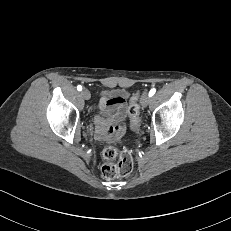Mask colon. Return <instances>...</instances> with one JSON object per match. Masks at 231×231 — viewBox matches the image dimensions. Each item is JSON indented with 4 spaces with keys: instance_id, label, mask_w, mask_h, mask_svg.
<instances>
[{
    "instance_id": "1",
    "label": "colon",
    "mask_w": 231,
    "mask_h": 231,
    "mask_svg": "<svg viewBox=\"0 0 231 231\" xmlns=\"http://www.w3.org/2000/svg\"><path fill=\"white\" fill-rule=\"evenodd\" d=\"M138 94H135L128 106L132 128L139 125V108L137 104ZM101 172L107 179H114L129 175L134 166L132 153L128 149L118 150L112 146H106L102 150Z\"/></svg>"
}]
</instances>
